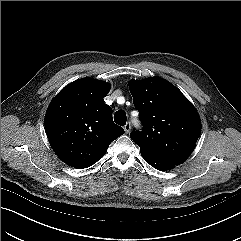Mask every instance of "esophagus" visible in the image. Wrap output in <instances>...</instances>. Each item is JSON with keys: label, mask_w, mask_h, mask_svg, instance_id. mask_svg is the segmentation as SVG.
Returning <instances> with one entry per match:
<instances>
[{"label": "esophagus", "mask_w": 241, "mask_h": 241, "mask_svg": "<svg viewBox=\"0 0 241 241\" xmlns=\"http://www.w3.org/2000/svg\"><path fill=\"white\" fill-rule=\"evenodd\" d=\"M123 128L126 133H129L131 129V124L130 123L125 124Z\"/></svg>", "instance_id": "obj_1"}]
</instances>
